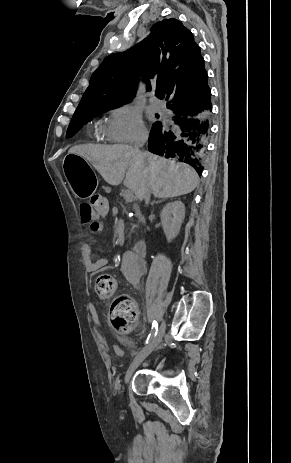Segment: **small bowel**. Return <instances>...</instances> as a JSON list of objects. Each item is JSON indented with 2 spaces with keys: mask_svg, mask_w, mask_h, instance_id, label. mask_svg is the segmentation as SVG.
<instances>
[{
  "mask_svg": "<svg viewBox=\"0 0 291 463\" xmlns=\"http://www.w3.org/2000/svg\"><path fill=\"white\" fill-rule=\"evenodd\" d=\"M83 222L88 224V232L91 235L100 233L103 230L101 219L104 217L91 216L90 221L86 222L80 210ZM83 264L87 271L97 272L107 266L108 261L105 258H98L93 252V240L88 239L80 247ZM146 263L143 256H139L135 251L129 250L124 253L119 273L133 286L140 287L142 284V275L145 271ZM116 355H120V349H116Z\"/></svg>",
  "mask_w": 291,
  "mask_h": 463,
  "instance_id": "small-bowel-1",
  "label": "small bowel"
}]
</instances>
